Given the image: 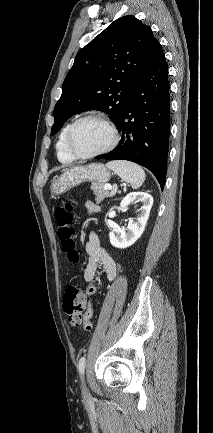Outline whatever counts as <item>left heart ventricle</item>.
<instances>
[{"instance_id":"left-heart-ventricle-1","label":"left heart ventricle","mask_w":213,"mask_h":433,"mask_svg":"<svg viewBox=\"0 0 213 433\" xmlns=\"http://www.w3.org/2000/svg\"><path fill=\"white\" fill-rule=\"evenodd\" d=\"M111 140L108 128L100 121L81 122L73 134V146L80 154H90L105 148Z\"/></svg>"}]
</instances>
